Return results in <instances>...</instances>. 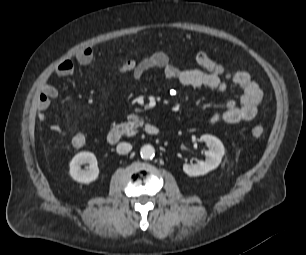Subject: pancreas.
<instances>
[{
	"label": "pancreas",
	"mask_w": 306,
	"mask_h": 255,
	"mask_svg": "<svg viewBox=\"0 0 306 255\" xmlns=\"http://www.w3.org/2000/svg\"><path fill=\"white\" fill-rule=\"evenodd\" d=\"M127 119L129 122H132L134 126H141L144 124V120L139 118L137 114H130Z\"/></svg>",
	"instance_id": "obj_1"
}]
</instances>
